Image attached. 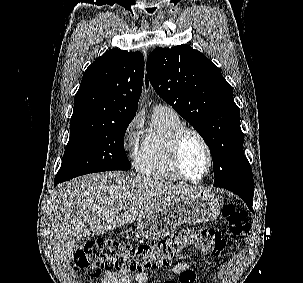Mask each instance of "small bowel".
I'll list each match as a JSON object with an SVG mask.
<instances>
[{"mask_svg":"<svg viewBox=\"0 0 303 283\" xmlns=\"http://www.w3.org/2000/svg\"><path fill=\"white\" fill-rule=\"evenodd\" d=\"M182 259H193L191 253H184L180 256ZM189 266L187 263H178L174 266L172 273L180 274L181 272L188 270ZM135 281L137 283H154V280L149 278L144 272H138L135 274ZM101 283H132L131 277L128 272L116 271L106 272L101 280Z\"/></svg>","mask_w":303,"mask_h":283,"instance_id":"obj_1","label":"small bowel"}]
</instances>
